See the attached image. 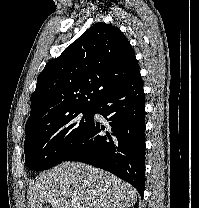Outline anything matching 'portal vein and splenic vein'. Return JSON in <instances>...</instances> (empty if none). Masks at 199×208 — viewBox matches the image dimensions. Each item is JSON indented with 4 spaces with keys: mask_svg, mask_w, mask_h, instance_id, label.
Returning a JSON list of instances; mask_svg holds the SVG:
<instances>
[{
    "mask_svg": "<svg viewBox=\"0 0 199 208\" xmlns=\"http://www.w3.org/2000/svg\"><path fill=\"white\" fill-rule=\"evenodd\" d=\"M74 208H82L81 205L79 203H72Z\"/></svg>",
    "mask_w": 199,
    "mask_h": 208,
    "instance_id": "portal-vein-and-splenic-vein-1",
    "label": "portal vein and splenic vein"
}]
</instances>
